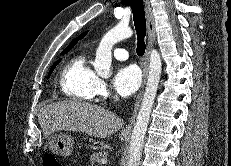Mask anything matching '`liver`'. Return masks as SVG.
<instances>
[{"instance_id":"6515ba94","label":"liver","mask_w":231,"mask_h":166,"mask_svg":"<svg viewBox=\"0 0 231 166\" xmlns=\"http://www.w3.org/2000/svg\"><path fill=\"white\" fill-rule=\"evenodd\" d=\"M38 122L45 138L56 131H76L106 138L123 126V120L111 111L77 100L45 105L38 113Z\"/></svg>"}]
</instances>
